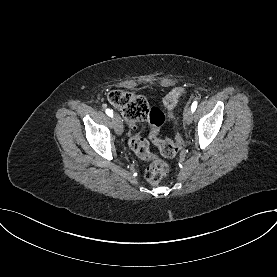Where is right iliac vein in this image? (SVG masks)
<instances>
[{
    "mask_svg": "<svg viewBox=\"0 0 277 277\" xmlns=\"http://www.w3.org/2000/svg\"><path fill=\"white\" fill-rule=\"evenodd\" d=\"M113 125H114L115 132L118 135H121L123 132V124H122V120L118 114H115L113 117Z\"/></svg>",
    "mask_w": 277,
    "mask_h": 277,
    "instance_id": "1",
    "label": "right iliac vein"
}]
</instances>
